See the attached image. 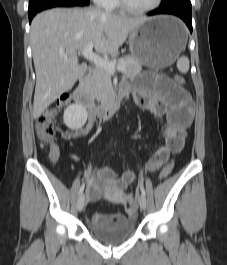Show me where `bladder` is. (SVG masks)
Masks as SVG:
<instances>
[{"label":"bladder","mask_w":227,"mask_h":265,"mask_svg":"<svg viewBox=\"0 0 227 265\" xmlns=\"http://www.w3.org/2000/svg\"><path fill=\"white\" fill-rule=\"evenodd\" d=\"M89 231L100 241L115 244L130 238L135 230V220L127 218L123 222L116 225H97L88 224Z\"/></svg>","instance_id":"bladder-1"}]
</instances>
